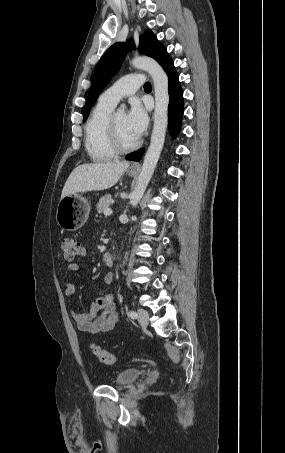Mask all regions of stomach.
Returning <instances> with one entry per match:
<instances>
[{"instance_id":"1","label":"stomach","mask_w":285,"mask_h":453,"mask_svg":"<svg viewBox=\"0 0 285 453\" xmlns=\"http://www.w3.org/2000/svg\"><path fill=\"white\" fill-rule=\"evenodd\" d=\"M129 176H135L136 171L129 169ZM90 204L81 195L74 194L61 198L57 205L56 221L63 230L76 231L87 221Z\"/></svg>"}]
</instances>
